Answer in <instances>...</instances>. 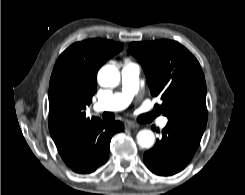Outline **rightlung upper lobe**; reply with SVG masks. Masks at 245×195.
I'll use <instances>...</instances> for the list:
<instances>
[{
    "label": "right lung upper lobe",
    "instance_id": "right-lung-upper-lobe-1",
    "mask_svg": "<svg viewBox=\"0 0 245 195\" xmlns=\"http://www.w3.org/2000/svg\"><path fill=\"white\" fill-rule=\"evenodd\" d=\"M123 49L121 43L89 39L69 46L58 58L49 85V131L68 166L78 165L90 145L92 131L101 122L85 116L97 90V71Z\"/></svg>",
    "mask_w": 245,
    "mask_h": 195
}]
</instances>
